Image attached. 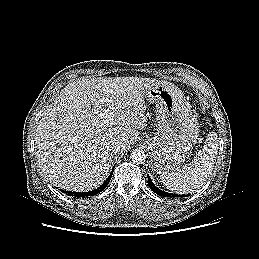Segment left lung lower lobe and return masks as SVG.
Here are the masks:
<instances>
[{"label": "left lung lower lobe", "mask_w": 259, "mask_h": 259, "mask_svg": "<svg viewBox=\"0 0 259 259\" xmlns=\"http://www.w3.org/2000/svg\"><path fill=\"white\" fill-rule=\"evenodd\" d=\"M148 185H149V187H150V189L154 192V193H156L157 195H159V196H164V197H186L185 195H177V194H173V193H167V192H164V191H162V190H160L159 188H157L154 184H153V182H152V180H151V178L148 176Z\"/></svg>", "instance_id": "1"}]
</instances>
